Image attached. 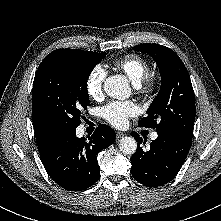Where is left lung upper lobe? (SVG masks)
Here are the masks:
<instances>
[{
  "mask_svg": "<svg viewBox=\"0 0 221 221\" xmlns=\"http://www.w3.org/2000/svg\"><path fill=\"white\" fill-rule=\"evenodd\" d=\"M135 51L148 53L159 66L161 88L139 121L140 127L171 131L192 138L195 121V97L189 73L179 56L158 44H141Z\"/></svg>",
  "mask_w": 221,
  "mask_h": 221,
  "instance_id": "5c2ea615",
  "label": "left lung upper lobe"
}]
</instances>
